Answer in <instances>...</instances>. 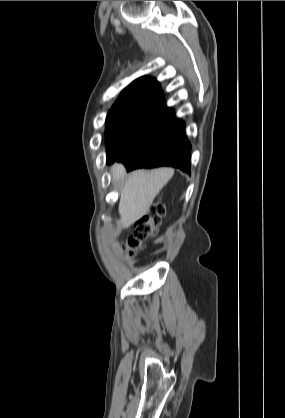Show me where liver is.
<instances>
[{
  "instance_id": "1",
  "label": "liver",
  "mask_w": 285,
  "mask_h": 418,
  "mask_svg": "<svg viewBox=\"0 0 285 418\" xmlns=\"http://www.w3.org/2000/svg\"><path fill=\"white\" fill-rule=\"evenodd\" d=\"M113 182H120L125 176V167L116 163L111 168ZM174 174L172 168L136 170L126 179L119 201L120 219L118 226L125 228L146 215L160 190Z\"/></svg>"
}]
</instances>
